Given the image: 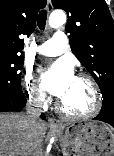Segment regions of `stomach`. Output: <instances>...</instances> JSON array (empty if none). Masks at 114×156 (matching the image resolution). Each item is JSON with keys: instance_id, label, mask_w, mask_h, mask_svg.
<instances>
[{"instance_id": "stomach-1", "label": "stomach", "mask_w": 114, "mask_h": 156, "mask_svg": "<svg viewBox=\"0 0 114 156\" xmlns=\"http://www.w3.org/2000/svg\"><path fill=\"white\" fill-rule=\"evenodd\" d=\"M55 132L63 156H114V132L102 122L61 124Z\"/></svg>"}]
</instances>
